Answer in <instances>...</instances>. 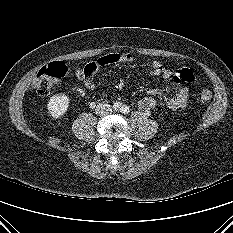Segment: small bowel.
<instances>
[{
  "label": "small bowel",
  "instance_id": "1",
  "mask_svg": "<svg viewBox=\"0 0 233 233\" xmlns=\"http://www.w3.org/2000/svg\"><path fill=\"white\" fill-rule=\"evenodd\" d=\"M133 59H134L133 55L129 52L106 54L92 62L95 64L96 67L94 73L101 66L132 62ZM186 72L190 73L191 71L186 68H181L177 71H172L171 69L165 67L159 61H153L151 63L150 74L152 76L161 77L164 80H171L175 84L181 86L179 91L167 101L168 108L172 110H180L184 108L187 103L189 96V89L186 86V83L188 82L184 79V74ZM93 74L84 78V86L88 90H94L95 88ZM155 105H156V100L153 97H149V96L141 98L138 101V108L143 112L151 111L155 107Z\"/></svg>",
  "mask_w": 233,
  "mask_h": 233
}]
</instances>
